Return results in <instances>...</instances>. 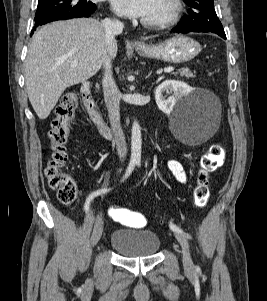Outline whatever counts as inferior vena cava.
Instances as JSON below:
<instances>
[{"mask_svg": "<svg viewBox=\"0 0 267 301\" xmlns=\"http://www.w3.org/2000/svg\"><path fill=\"white\" fill-rule=\"evenodd\" d=\"M101 25L105 32V44L107 48L114 40L115 36L122 32L124 25L118 20H112L108 18L104 19ZM103 67L105 69V75L102 81L104 101L108 110V116L115 138L117 153L119 159L124 161L127 155V145L120 123V92L112 77L111 58L107 55L106 51L104 53Z\"/></svg>", "mask_w": 267, "mask_h": 301, "instance_id": "1", "label": "inferior vena cava"}]
</instances>
